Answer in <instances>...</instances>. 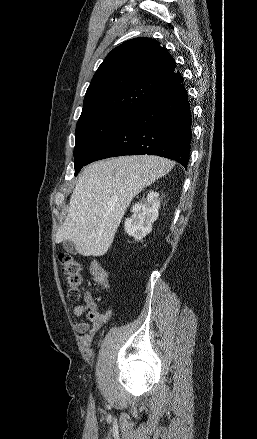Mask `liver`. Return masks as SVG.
I'll list each match as a JSON object with an SVG mask.
<instances>
[{"mask_svg":"<svg viewBox=\"0 0 257 439\" xmlns=\"http://www.w3.org/2000/svg\"><path fill=\"white\" fill-rule=\"evenodd\" d=\"M173 166L168 159L153 155L121 156L86 166L56 243L72 241L83 256H103L132 199Z\"/></svg>","mask_w":257,"mask_h":439,"instance_id":"6515ba94","label":"liver"}]
</instances>
